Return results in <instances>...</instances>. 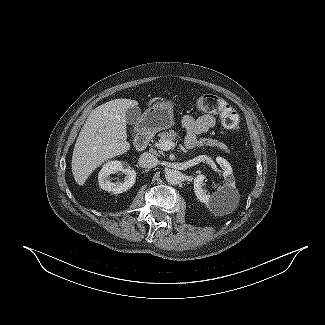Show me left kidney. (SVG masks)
I'll list each match as a JSON object with an SVG mask.
<instances>
[{"mask_svg":"<svg viewBox=\"0 0 325 325\" xmlns=\"http://www.w3.org/2000/svg\"><path fill=\"white\" fill-rule=\"evenodd\" d=\"M216 162L222 168L224 177V185L219 188L217 192L209 195L207 191L202 188L205 179L204 175H197L194 179L195 194L197 198L207 206H211L213 203L217 202L225 193H236L235 178L230 163L222 157H217Z\"/></svg>","mask_w":325,"mask_h":325,"instance_id":"1","label":"left kidney"}]
</instances>
